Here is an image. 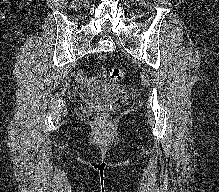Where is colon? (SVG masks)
Masks as SVG:
<instances>
[{"label": "colon", "instance_id": "obj_1", "mask_svg": "<svg viewBox=\"0 0 219 192\" xmlns=\"http://www.w3.org/2000/svg\"><path fill=\"white\" fill-rule=\"evenodd\" d=\"M108 75H109V78L113 81H120L125 76L123 69L117 68V67L110 68ZM95 121L99 127H105L109 124L108 116L103 113L98 114L95 117Z\"/></svg>", "mask_w": 219, "mask_h": 192}]
</instances>
